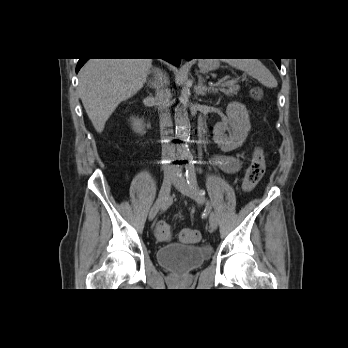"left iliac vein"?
<instances>
[{"mask_svg": "<svg viewBox=\"0 0 348 348\" xmlns=\"http://www.w3.org/2000/svg\"><path fill=\"white\" fill-rule=\"evenodd\" d=\"M174 186L183 194L186 196L192 198L195 200L198 204H204L205 203V197L203 194L195 187H192L188 184L185 178L181 179H175L174 180ZM209 224L210 228L212 230H216L218 226V220L216 215L209 211Z\"/></svg>", "mask_w": 348, "mask_h": 348, "instance_id": "4c4485c4", "label": "left iliac vein"}]
</instances>
